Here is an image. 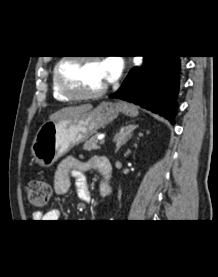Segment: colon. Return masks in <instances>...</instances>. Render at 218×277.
Returning a JSON list of instances; mask_svg holds the SVG:
<instances>
[{
	"instance_id": "obj_1",
	"label": "colon",
	"mask_w": 218,
	"mask_h": 277,
	"mask_svg": "<svg viewBox=\"0 0 218 277\" xmlns=\"http://www.w3.org/2000/svg\"><path fill=\"white\" fill-rule=\"evenodd\" d=\"M26 191L29 204L38 208L46 206L52 194L50 184L38 179L29 181Z\"/></svg>"
}]
</instances>
